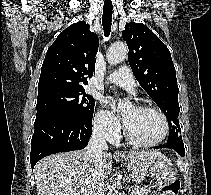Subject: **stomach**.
I'll use <instances>...</instances> for the list:
<instances>
[{"label":"stomach","mask_w":211,"mask_h":195,"mask_svg":"<svg viewBox=\"0 0 211 195\" xmlns=\"http://www.w3.org/2000/svg\"><path fill=\"white\" fill-rule=\"evenodd\" d=\"M130 170L129 177L135 182H141L145 175L149 173L154 177L158 185H166L173 182L176 177L172 168L171 161L164 155L155 156L145 160V166H129L127 158H123Z\"/></svg>","instance_id":"stomach-1"}]
</instances>
